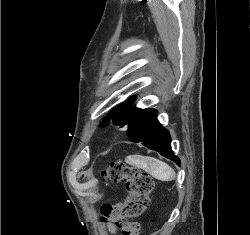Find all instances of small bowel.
I'll list each match as a JSON object with an SVG mask.
<instances>
[{
    "label": "small bowel",
    "mask_w": 250,
    "mask_h": 235,
    "mask_svg": "<svg viewBox=\"0 0 250 235\" xmlns=\"http://www.w3.org/2000/svg\"><path fill=\"white\" fill-rule=\"evenodd\" d=\"M108 229L113 234H115L117 232V228L112 224L108 225Z\"/></svg>",
    "instance_id": "small-bowel-1"
}]
</instances>
